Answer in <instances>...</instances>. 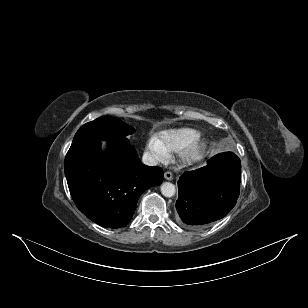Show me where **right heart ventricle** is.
Wrapping results in <instances>:
<instances>
[{
	"label": "right heart ventricle",
	"mask_w": 308,
	"mask_h": 308,
	"mask_svg": "<svg viewBox=\"0 0 308 308\" xmlns=\"http://www.w3.org/2000/svg\"><path fill=\"white\" fill-rule=\"evenodd\" d=\"M199 135L198 130L183 127L162 131L157 135L156 139L168 153H171L183 150Z\"/></svg>",
	"instance_id": "e07e8e85"
}]
</instances>
